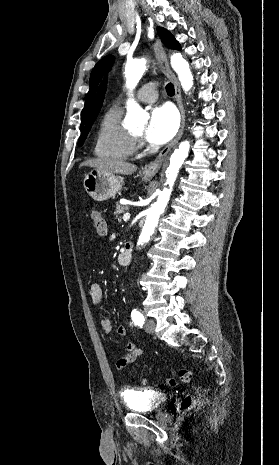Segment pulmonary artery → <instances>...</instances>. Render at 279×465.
Instances as JSON below:
<instances>
[{"label":"pulmonary artery","instance_id":"e3ab8cb5","mask_svg":"<svg viewBox=\"0 0 279 465\" xmlns=\"http://www.w3.org/2000/svg\"><path fill=\"white\" fill-rule=\"evenodd\" d=\"M157 98V87L152 82L145 84L137 93V99L145 103H153Z\"/></svg>","mask_w":279,"mask_h":465}]
</instances>
